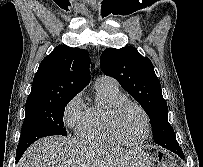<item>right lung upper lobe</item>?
<instances>
[{"label":"right lung upper lobe","instance_id":"right-lung-upper-lobe-1","mask_svg":"<svg viewBox=\"0 0 203 167\" xmlns=\"http://www.w3.org/2000/svg\"><path fill=\"white\" fill-rule=\"evenodd\" d=\"M89 67L88 51L55 47L40 63L26 104L75 96L89 83Z\"/></svg>","mask_w":203,"mask_h":167}]
</instances>
